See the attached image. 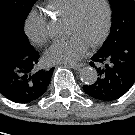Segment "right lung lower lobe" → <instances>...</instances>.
<instances>
[{
  "label": "right lung lower lobe",
  "mask_w": 135,
  "mask_h": 135,
  "mask_svg": "<svg viewBox=\"0 0 135 135\" xmlns=\"http://www.w3.org/2000/svg\"><path fill=\"white\" fill-rule=\"evenodd\" d=\"M39 54L20 35L0 28V93L16 103H29L41 97L54 68L37 70Z\"/></svg>",
  "instance_id": "right-lung-lower-lobe-1"
}]
</instances>
